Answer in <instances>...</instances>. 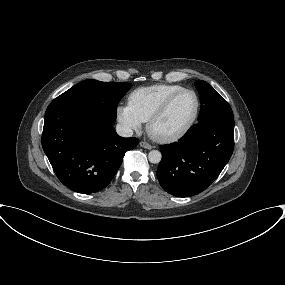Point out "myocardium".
<instances>
[{"label": "myocardium", "mask_w": 285, "mask_h": 285, "mask_svg": "<svg viewBox=\"0 0 285 285\" xmlns=\"http://www.w3.org/2000/svg\"><path fill=\"white\" fill-rule=\"evenodd\" d=\"M183 93H191L195 97V109L193 112L192 117L190 120L187 122V124L181 128L180 130L173 132V133H158L155 131V124L159 121V119L167 112L173 101L181 94ZM199 110H200V99L198 94L188 88H182L181 90L173 93L170 95L149 117L147 121V132L152 137L154 140L159 141V142H172L176 141L180 138H182L184 135H186L190 129L194 126L198 115H199Z\"/></svg>", "instance_id": "obj_1"}]
</instances>
